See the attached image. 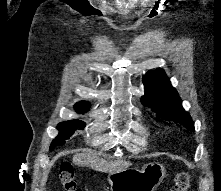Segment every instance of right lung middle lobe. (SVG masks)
I'll use <instances>...</instances> for the list:
<instances>
[{"instance_id":"right-lung-middle-lobe-1","label":"right lung middle lobe","mask_w":221,"mask_h":191,"mask_svg":"<svg viewBox=\"0 0 221 191\" xmlns=\"http://www.w3.org/2000/svg\"><path fill=\"white\" fill-rule=\"evenodd\" d=\"M85 126V122L80 120H69L59 123L57 125L59 135L52 141L50 150H53L56 146L63 145L77 129H83Z\"/></svg>"}]
</instances>
